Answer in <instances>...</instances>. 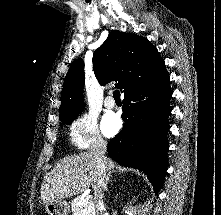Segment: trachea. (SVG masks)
<instances>
[{
  "label": "trachea",
  "mask_w": 221,
  "mask_h": 215,
  "mask_svg": "<svg viewBox=\"0 0 221 215\" xmlns=\"http://www.w3.org/2000/svg\"><path fill=\"white\" fill-rule=\"evenodd\" d=\"M113 97H114L115 100H120V92H119V90H115L113 92Z\"/></svg>",
  "instance_id": "1"
}]
</instances>
